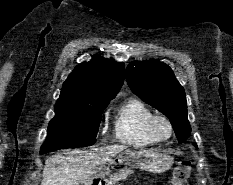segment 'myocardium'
Masks as SVG:
<instances>
[{"mask_svg":"<svg viewBox=\"0 0 233 185\" xmlns=\"http://www.w3.org/2000/svg\"><path fill=\"white\" fill-rule=\"evenodd\" d=\"M160 122H164L168 126L169 134L166 137L162 136L158 131V124ZM149 129L153 137L158 141H167L173 136L174 133V128L171 120L166 115L163 114L153 115V117L149 122Z\"/></svg>","mask_w":233,"mask_h":185,"instance_id":"obj_1","label":"myocardium"}]
</instances>
